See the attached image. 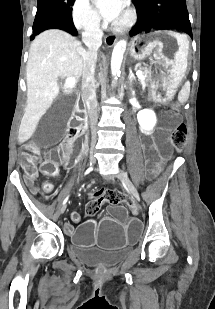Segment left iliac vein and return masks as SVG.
I'll return each mask as SVG.
<instances>
[{"label": "left iliac vein", "mask_w": 215, "mask_h": 309, "mask_svg": "<svg viewBox=\"0 0 215 309\" xmlns=\"http://www.w3.org/2000/svg\"><path fill=\"white\" fill-rule=\"evenodd\" d=\"M118 177L126 185L129 193L136 200H139V193H138L137 189L135 188V186L133 185V183L131 182V180L129 179L127 173L124 172L123 170H120L119 173H118Z\"/></svg>", "instance_id": "1"}]
</instances>
